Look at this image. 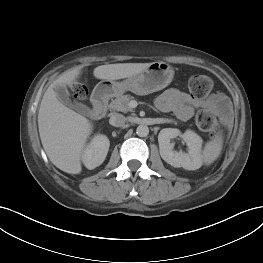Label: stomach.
Returning <instances> with one entry per match:
<instances>
[{
	"mask_svg": "<svg viewBox=\"0 0 263 263\" xmlns=\"http://www.w3.org/2000/svg\"><path fill=\"white\" fill-rule=\"evenodd\" d=\"M174 76L172 67L165 62H153L141 72L122 81L103 80L93 91V95L113 97L130 91L137 95H147L168 86Z\"/></svg>",
	"mask_w": 263,
	"mask_h": 263,
	"instance_id": "0dacf381",
	"label": "stomach"
}]
</instances>
